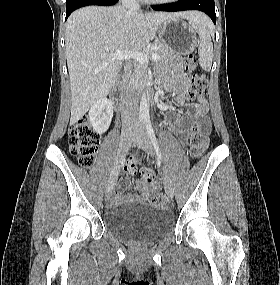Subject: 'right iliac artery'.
<instances>
[{
    "mask_svg": "<svg viewBox=\"0 0 280 285\" xmlns=\"http://www.w3.org/2000/svg\"><path fill=\"white\" fill-rule=\"evenodd\" d=\"M139 121H140V122H142V121H143V118H142V117H141V118H139Z\"/></svg>",
    "mask_w": 280,
    "mask_h": 285,
    "instance_id": "1",
    "label": "right iliac artery"
}]
</instances>
